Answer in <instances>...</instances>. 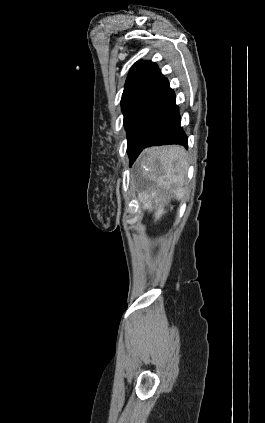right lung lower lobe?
<instances>
[{"label": "right lung lower lobe", "instance_id": "1", "mask_svg": "<svg viewBox=\"0 0 265 423\" xmlns=\"http://www.w3.org/2000/svg\"><path fill=\"white\" fill-rule=\"evenodd\" d=\"M180 123L175 94L164 78L147 95L127 130L130 165L144 148L152 145L179 144L187 148V137Z\"/></svg>", "mask_w": 265, "mask_h": 423}]
</instances>
